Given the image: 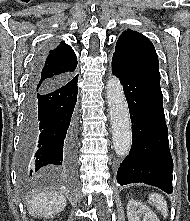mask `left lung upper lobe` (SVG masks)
Returning a JSON list of instances; mask_svg holds the SVG:
<instances>
[{
	"instance_id": "5c2ea615",
	"label": "left lung upper lobe",
	"mask_w": 190,
	"mask_h": 221,
	"mask_svg": "<svg viewBox=\"0 0 190 221\" xmlns=\"http://www.w3.org/2000/svg\"><path fill=\"white\" fill-rule=\"evenodd\" d=\"M113 57L134 66L159 70L158 56L153 44L148 38L133 30H127L120 35Z\"/></svg>"
}]
</instances>
